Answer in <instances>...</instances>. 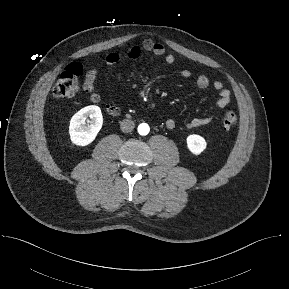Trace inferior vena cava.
Returning <instances> with one entry per match:
<instances>
[{
	"instance_id": "obj_1",
	"label": "inferior vena cava",
	"mask_w": 289,
	"mask_h": 289,
	"mask_svg": "<svg viewBox=\"0 0 289 289\" xmlns=\"http://www.w3.org/2000/svg\"><path fill=\"white\" fill-rule=\"evenodd\" d=\"M134 127H135V123L131 119H124L120 123V128L122 132H125V133L131 132L134 129Z\"/></svg>"
}]
</instances>
